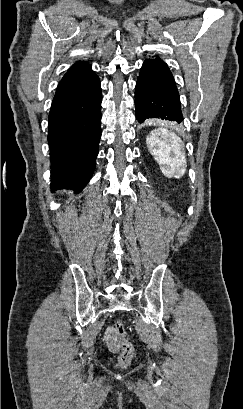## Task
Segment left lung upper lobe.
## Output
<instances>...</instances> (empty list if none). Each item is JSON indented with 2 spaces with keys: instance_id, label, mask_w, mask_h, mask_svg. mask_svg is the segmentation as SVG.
I'll return each instance as SVG.
<instances>
[{
  "instance_id": "left-lung-upper-lobe-1",
  "label": "left lung upper lobe",
  "mask_w": 243,
  "mask_h": 409,
  "mask_svg": "<svg viewBox=\"0 0 243 409\" xmlns=\"http://www.w3.org/2000/svg\"><path fill=\"white\" fill-rule=\"evenodd\" d=\"M153 59L158 60V61H161V62H164L163 60H161V59H160V57H159V56H156V57H155V58H153Z\"/></svg>"
}]
</instances>
